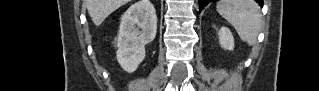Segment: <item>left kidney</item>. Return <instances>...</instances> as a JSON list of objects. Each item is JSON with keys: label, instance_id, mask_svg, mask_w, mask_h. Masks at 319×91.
Here are the masks:
<instances>
[{"label": "left kidney", "instance_id": "obj_1", "mask_svg": "<svg viewBox=\"0 0 319 91\" xmlns=\"http://www.w3.org/2000/svg\"><path fill=\"white\" fill-rule=\"evenodd\" d=\"M218 36L222 48L226 50L234 49V38L231 31L227 27H221L218 32Z\"/></svg>", "mask_w": 319, "mask_h": 91}]
</instances>
